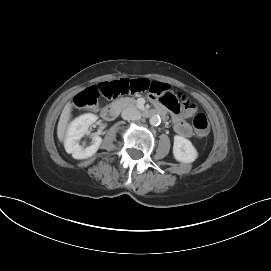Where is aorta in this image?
I'll list each match as a JSON object with an SVG mask.
<instances>
[{
	"mask_svg": "<svg viewBox=\"0 0 271 271\" xmlns=\"http://www.w3.org/2000/svg\"><path fill=\"white\" fill-rule=\"evenodd\" d=\"M149 123L152 126H158L161 123V119H160V117L158 115H153V116L150 117Z\"/></svg>",
	"mask_w": 271,
	"mask_h": 271,
	"instance_id": "aorta-1",
	"label": "aorta"
}]
</instances>
